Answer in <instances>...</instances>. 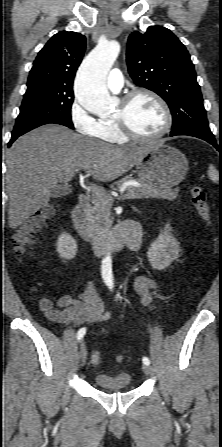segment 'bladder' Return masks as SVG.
Returning <instances> with one entry per match:
<instances>
[{
	"label": "bladder",
	"instance_id": "31cf9c89",
	"mask_svg": "<svg viewBox=\"0 0 222 447\" xmlns=\"http://www.w3.org/2000/svg\"><path fill=\"white\" fill-rule=\"evenodd\" d=\"M94 382L102 390L121 391L131 388V375L126 371L99 372L94 376Z\"/></svg>",
	"mask_w": 222,
	"mask_h": 447
}]
</instances>
